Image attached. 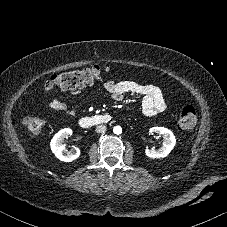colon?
<instances>
[{"mask_svg": "<svg viewBox=\"0 0 227 227\" xmlns=\"http://www.w3.org/2000/svg\"><path fill=\"white\" fill-rule=\"evenodd\" d=\"M108 70V67L90 66L62 72L54 77V84L63 91L81 90L99 80ZM196 119L195 108L193 106L184 107L177 119L178 130L182 132L191 130L196 124ZM23 125L30 134L38 135L45 128L46 121L40 116H29L23 120Z\"/></svg>", "mask_w": 227, "mask_h": 227, "instance_id": "5ec220e1", "label": "colon"}]
</instances>
